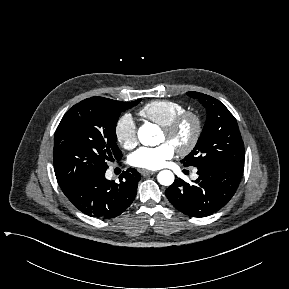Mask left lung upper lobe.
Segmentation results:
<instances>
[{
    "label": "left lung upper lobe",
    "instance_id": "obj_1",
    "mask_svg": "<svg viewBox=\"0 0 289 289\" xmlns=\"http://www.w3.org/2000/svg\"><path fill=\"white\" fill-rule=\"evenodd\" d=\"M206 108L207 120L195 148L181 162L199 167L209 163L244 166V144L234 116L223 103L199 92H187Z\"/></svg>",
    "mask_w": 289,
    "mask_h": 289
}]
</instances>
